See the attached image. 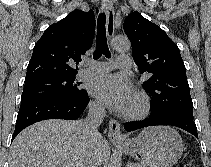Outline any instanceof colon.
Here are the masks:
<instances>
[{
  "label": "colon",
  "mask_w": 211,
  "mask_h": 167,
  "mask_svg": "<svg viewBox=\"0 0 211 167\" xmlns=\"http://www.w3.org/2000/svg\"><path fill=\"white\" fill-rule=\"evenodd\" d=\"M184 167H192L190 164H186Z\"/></svg>",
  "instance_id": "5ec220e1"
}]
</instances>
